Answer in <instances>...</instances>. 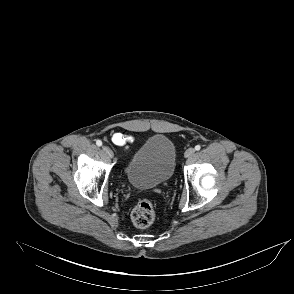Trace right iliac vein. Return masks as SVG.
I'll return each instance as SVG.
<instances>
[{"label":"right iliac vein","mask_w":294,"mask_h":294,"mask_svg":"<svg viewBox=\"0 0 294 294\" xmlns=\"http://www.w3.org/2000/svg\"><path fill=\"white\" fill-rule=\"evenodd\" d=\"M102 148H103V151H104V152H105L110 158H113V157H114V154H113L112 150H111L109 147H107V146H103Z\"/></svg>","instance_id":"63e3f726"}]
</instances>
